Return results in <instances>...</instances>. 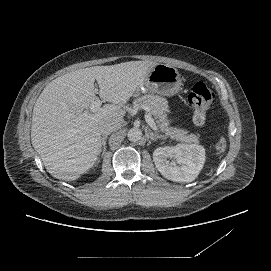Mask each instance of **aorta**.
Masks as SVG:
<instances>
[{"instance_id": "obj_1", "label": "aorta", "mask_w": 271, "mask_h": 271, "mask_svg": "<svg viewBox=\"0 0 271 271\" xmlns=\"http://www.w3.org/2000/svg\"><path fill=\"white\" fill-rule=\"evenodd\" d=\"M127 137L131 142H140L142 139V131L138 128H132L128 131Z\"/></svg>"}]
</instances>
